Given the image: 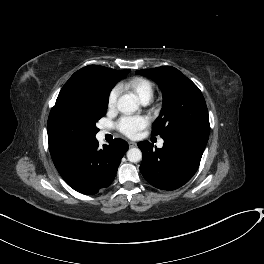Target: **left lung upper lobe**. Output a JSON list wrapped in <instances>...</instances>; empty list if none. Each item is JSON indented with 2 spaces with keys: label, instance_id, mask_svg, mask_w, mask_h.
Segmentation results:
<instances>
[{
  "label": "left lung upper lobe",
  "instance_id": "5c2ea615",
  "mask_svg": "<svg viewBox=\"0 0 264 264\" xmlns=\"http://www.w3.org/2000/svg\"><path fill=\"white\" fill-rule=\"evenodd\" d=\"M136 73L157 82L163 92V107L152 125L153 136L169 138L185 129L210 131L208 110L200 89L178 69L162 66Z\"/></svg>",
  "mask_w": 264,
  "mask_h": 264
}]
</instances>
